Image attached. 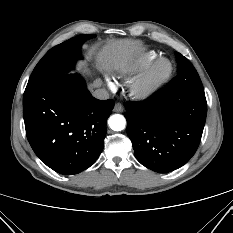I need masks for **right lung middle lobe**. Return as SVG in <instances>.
Here are the masks:
<instances>
[{"label": "right lung middle lobe", "instance_id": "right-lung-middle-lobe-1", "mask_svg": "<svg viewBox=\"0 0 233 233\" xmlns=\"http://www.w3.org/2000/svg\"><path fill=\"white\" fill-rule=\"evenodd\" d=\"M95 35H78L49 50L34 68L25 92L30 91L44 81L68 72L74 68V63L80 56L82 43Z\"/></svg>", "mask_w": 233, "mask_h": 233}]
</instances>
